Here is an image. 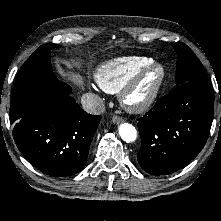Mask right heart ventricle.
<instances>
[{
    "label": "right heart ventricle",
    "mask_w": 221,
    "mask_h": 221,
    "mask_svg": "<svg viewBox=\"0 0 221 221\" xmlns=\"http://www.w3.org/2000/svg\"><path fill=\"white\" fill-rule=\"evenodd\" d=\"M148 57H120L99 64L94 70L97 85L108 93H117L142 68L152 63Z\"/></svg>",
    "instance_id": "e07e8e85"
}]
</instances>
